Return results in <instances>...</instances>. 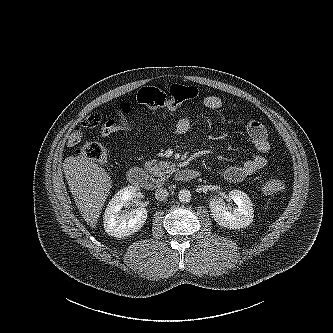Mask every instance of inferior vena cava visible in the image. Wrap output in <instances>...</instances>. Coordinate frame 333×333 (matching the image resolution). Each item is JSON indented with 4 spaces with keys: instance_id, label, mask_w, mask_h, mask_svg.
Here are the masks:
<instances>
[{
    "instance_id": "602c4592",
    "label": "inferior vena cava",
    "mask_w": 333,
    "mask_h": 333,
    "mask_svg": "<svg viewBox=\"0 0 333 333\" xmlns=\"http://www.w3.org/2000/svg\"><path fill=\"white\" fill-rule=\"evenodd\" d=\"M169 193L165 188H158L155 191V198L159 201H162L168 197Z\"/></svg>"
}]
</instances>
